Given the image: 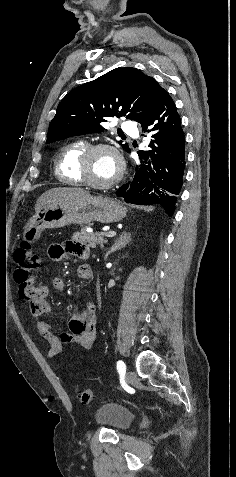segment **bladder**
<instances>
[{
  "instance_id": "bladder-1",
  "label": "bladder",
  "mask_w": 236,
  "mask_h": 477,
  "mask_svg": "<svg viewBox=\"0 0 236 477\" xmlns=\"http://www.w3.org/2000/svg\"><path fill=\"white\" fill-rule=\"evenodd\" d=\"M94 422L115 431L127 430L132 422V413L114 403H106L98 407L93 415Z\"/></svg>"
}]
</instances>
